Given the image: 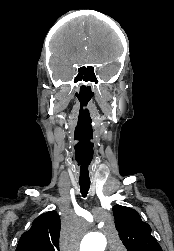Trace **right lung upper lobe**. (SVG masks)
Listing matches in <instances>:
<instances>
[{
	"instance_id": "1",
	"label": "right lung upper lobe",
	"mask_w": 174,
	"mask_h": 251,
	"mask_svg": "<svg viewBox=\"0 0 174 251\" xmlns=\"http://www.w3.org/2000/svg\"><path fill=\"white\" fill-rule=\"evenodd\" d=\"M60 218L56 211L37 217L20 238L16 251H59Z\"/></svg>"
}]
</instances>
